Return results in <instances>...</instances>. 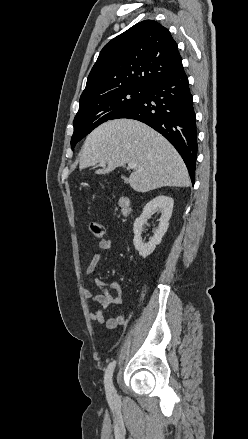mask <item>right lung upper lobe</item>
Instances as JSON below:
<instances>
[{
	"mask_svg": "<svg viewBox=\"0 0 248 439\" xmlns=\"http://www.w3.org/2000/svg\"><path fill=\"white\" fill-rule=\"evenodd\" d=\"M181 68L182 58L169 30L153 20L139 22L101 50L80 104L125 87L147 89Z\"/></svg>",
	"mask_w": 248,
	"mask_h": 439,
	"instance_id": "obj_1",
	"label": "right lung upper lobe"
}]
</instances>
